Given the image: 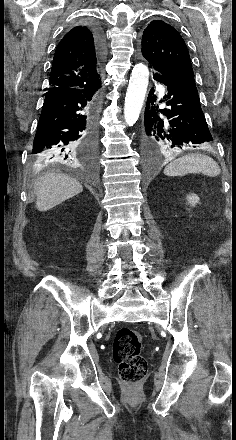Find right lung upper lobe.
I'll return each instance as SVG.
<instances>
[{"mask_svg": "<svg viewBox=\"0 0 236 440\" xmlns=\"http://www.w3.org/2000/svg\"><path fill=\"white\" fill-rule=\"evenodd\" d=\"M92 30L79 25L59 42L52 62L49 88H84L101 80V65Z\"/></svg>", "mask_w": 236, "mask_h": 440, "instance_id": "1", "label": "right lung upper lobe"}]
</instances>
